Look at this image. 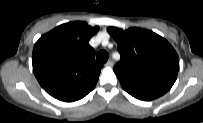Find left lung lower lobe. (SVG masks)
Returning <instances> with one entry per match:
<instances>
[{
  "label": "left lung lower lobe",
  "instance_id": "0a47b994",
  "mask_svg": "<svg viewBox=\"0 0 203 123\" xmlns=\"http://www.w3.org/2000/svg\"><path fill=\"white\" fill-rule=\"evenodd\" d=\"M122 87L130 95H132L133 97H135L137 99H140V100L148 101V100H152V99H155V98L159 97L158 95L147 93V92H144V91L132 88V87H127V86H124V85H122Z\"/></svg>",
  "mask_w": 203,
  "mask_h": 123
}]
</instances>
